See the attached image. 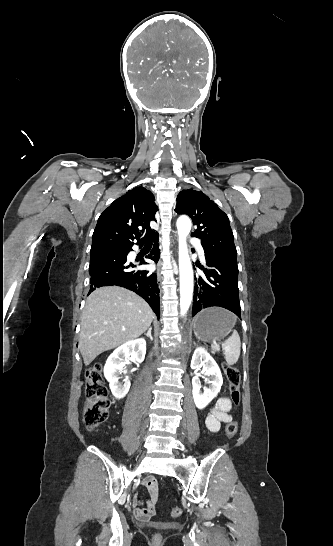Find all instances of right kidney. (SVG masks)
<instances>
[{"instance_id":"1","label":"right kidney","mask_w":333,"mask_h":546,"mask_svg":"<svg viewBox=\"0 0 333 546\" xmlns=\"http://www.w3.org/2000/svg\"><path fill=\"white\" fill-rule=\"evenodd\" d=\"M146 354V342L144 339L128 341L114 350L108 357L104 366V376L109 382L113 396L116 399H122L129 391L130 381L119 382V374L126 373L125 361L134 360L138 363L143 362Z\"/></svg>"}]
</instances>
